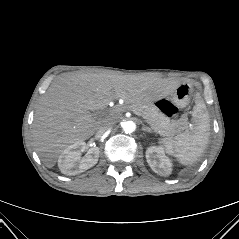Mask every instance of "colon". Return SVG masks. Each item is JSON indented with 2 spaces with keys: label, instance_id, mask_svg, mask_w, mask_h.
<instances>
[{
  "label": "colon",
  "instance_id": "colon-1",
  "mask_svg": "<svg viewBox=\"0 0 239 239\" xmlns=\"http://www.w3.org/2000/svg\"><path fill=\"white\" fill-rule=\"evenodd\" d=\"M159 109L168 117L173 118L177 115V107L168 100H160L158 102Z\"/></svg>",
  "mask_w": 239,
  "mask_h": 239
}]
</instances>
